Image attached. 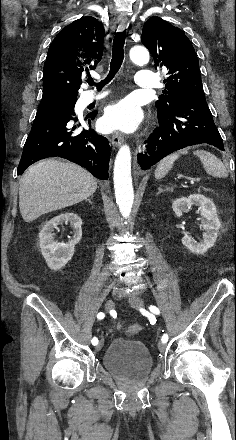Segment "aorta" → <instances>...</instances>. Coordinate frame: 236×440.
<instances>
[{
  "label": "aorta",
  "instance_id": "762f6f07",
  "mask_svg": "<svg viewBox=\"0 0 236 440\" xmlns=\"http://www.w3.org/2000/svg\"><path fill=\"white\" fill-rule=\"evenodd\" d=\"M129 56L131 61L137 65H143L149 61V52L143 46L132 47ZM114 189L120 213L128 218L133 205L134 191L131 177V151L127 145L119 149L115 159Z\"/></svg>",
  "mask_w": 236,
  "mask_h": 440
}]
</instances>
